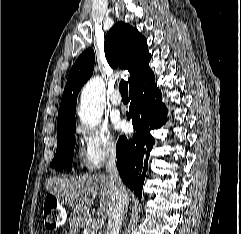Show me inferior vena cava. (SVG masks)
Segmentation results:
<instances>
[{"instance_id": "602c4592", "label": "inferior vena cava", "mask_w": 241, "mask_h": 234, "mask_svg": "<svg viewBox=\"0 0 241 234\" xmlns=\"http://www.w3.org/2000/svg\"><path fill=\"white\" fill-rule=\"evenodd\" d=\"M115 146H111L106 160V172L112 185V210L108 217L106 234H119L128 208V195L116 166Z\"/></svg>"}]
</instances>
